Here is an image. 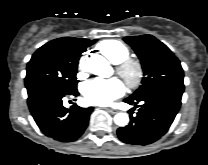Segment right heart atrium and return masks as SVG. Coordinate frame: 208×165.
<instances>
[{"instance_id":"d8ad5b80","label":"right heart atrium","mask_w":208,"mask_h":165,"mask_svg":"<svg viewBox=\"0 0 208 165\" xmlns=\"http://www.w3.org/2000/svg\"><path fill=\"white\" fill-rule=\"evenodd\" d=\"M77 69H78L79 77L82 78L85 75V70H86V57L85 56L81 57L80 60L78 61Z\"/></svg>"}]
</instances>
